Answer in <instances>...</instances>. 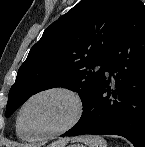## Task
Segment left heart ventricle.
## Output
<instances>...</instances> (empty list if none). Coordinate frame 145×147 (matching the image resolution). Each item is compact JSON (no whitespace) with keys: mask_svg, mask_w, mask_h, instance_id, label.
I'll use <instances>...</instances> for the list:
<instances>
[{"mask_svg":"<svg viewBox=\"0 0 145 147\" xmlns=\"http://www.w3.org/2000/svg\"><path fill=\"white\" fill-rule=\"evenodd\" d=\"M71 99L61 94H49L32 101L22 116L25 134H40L64 126L74 114Z\"/></svg>","mask_w":145,"mask_h":147,"instance_id":"left-heart-ventricle-1","label":"left heart ventricle"}]
</instances>
